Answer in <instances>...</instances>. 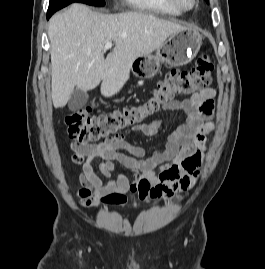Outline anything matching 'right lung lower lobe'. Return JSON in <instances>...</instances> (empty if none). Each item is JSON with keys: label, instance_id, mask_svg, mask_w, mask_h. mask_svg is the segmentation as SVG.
Returning <instances> with one entry per match:
<instances>
[{"label": "right lung lower lobe", "instance_id": "right-lung-lower-lobe-1", "mask_svg": "<svg viewBox=\"0 0 265 269\" xmlns=\"http://www.w3.org/2000/svg\"><path fill=\"white\" fill-rule=\"evenodd\" d=\"M69 4H71V3L49 5L48 11H47V19H49L54 12H56L57 10L67 6Z\"/></svg>", "mask_w": 265, "mask_h": 269}]
</instances>
